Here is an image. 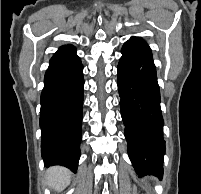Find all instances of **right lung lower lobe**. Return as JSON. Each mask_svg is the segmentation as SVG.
<instances>
[{"label":"right lung lower lobe","mask_w":201,"mask_h":194,"mask_svg":"<svg viewBox=\"0 0 201 194\" xmlns=\"http://www.w3.org/2000/svg\"><path fill=\"white\" fill-rule=\"evenodd\" d=\"M83 66L79 57L50 62L41 94V154L45 166L73 172L80 157Z\"/></svg>","instance_id":"1"}]
</instances>
